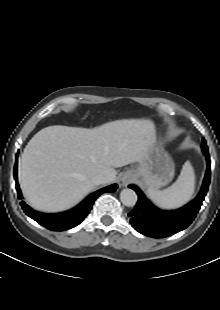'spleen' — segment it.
<instances>
[{"label": "spleen", "mask_w": 220, "mask_h": 310, "mask_svg": "<svg viewBox=\"0 0 220 310\" xmlns=\"http://www.w3.org/2000/svg\"><path fill=\"white\" fill-rule=\"evenodd\" d=\"M195 189V174L189 162L184 163L178 179L168 188H149V198L162 209H175L187 203Z\"/></svg>", "instance_id": "3e777b00"}]
</instances>
